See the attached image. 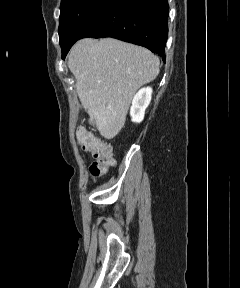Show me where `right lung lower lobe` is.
<instances>
[{
  "label": "right lung lower lobe",
  "instance_id": "98d812e1",
  "mask_svg": "<svg viewBox=\"0 0 240 288\" xmlns=\"http://www.w3.org/2000/svg\"><path fill=\"white\" fill-rule=\"evenodd\" d=\"M168 13L167 0H115L80 39L112 37L144 46L165 60ZM70 48L62 50L63 59Z\"/></svg>",
  "mask_w": 240,
  "mask_h": 288
}]
</instances>
